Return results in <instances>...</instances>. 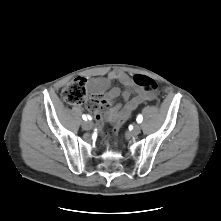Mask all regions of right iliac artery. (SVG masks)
Returning a JSON list of instances; mask_svg holds the SVG:
<instances>
[{
    "mask_svg": "<svg viewBox=\"0 0 221 221\" xmlns=\"http://www.w3.org/2000/svg\"><path fill=\"white\" fill-rule=\"evenodd\" d=\"M83 120L87 121V120H91V117L89 115H83L82 116Z\"/></svg>",
    "mask_w": 221,
    "mask_h": 221,
    "instance_id": "1",
    "label": "right iliac artery"
}]
</instances>
